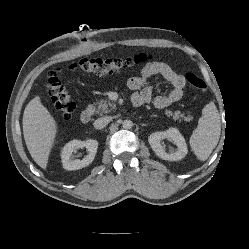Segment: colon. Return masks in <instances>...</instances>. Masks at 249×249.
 <instances>
[{
    "mask_svg": "<svg viewBox=\"0 0 249 249\" xmlns=\"http://www.w3.org/2000/svg\"><path fill=\"white\" fill-rule=\"evenodd\" d=\"M150 57L141 54L131 58H83L78 62L69 65L72 71H82L85 73L104 75L110 73H119L127 69L145 63ZM59 70L49 73L46 87L55 103L56 109L62 119L68 121L72 118L75 110V102L73 101L69 91L62 83L59 77ZM186 80L193 88L203 91L206 89L205 81L194 73H187Z\"/></svg>",
    "mask_w": 249,
    "mask_h": 249,
    "instance_id": "obj_1",
    "label": "colon"
}]
</instances>
